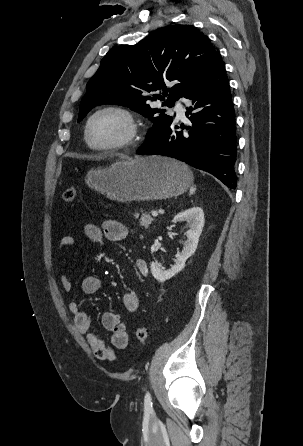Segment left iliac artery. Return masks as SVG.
<instances>
[{
	"label": "left iliac artery",
	"mask_w": 303,
	"mask_h": 446,
	"mask_svg": "<svg viewBox=\"0 0 303 446\" xmlns=\"http://www.w3.org/2000/svg\"><path fill=\"white\" fill-rule=\"evenodd\" d=\"M144 408H145V410L148 411V412H152V411H153V408H152V399H151V395H150L149 392H147V393L145 394V397H144Z\"/></svg>",
	"instance_id": "left-iliac-artery-1"
}]
</instances>
